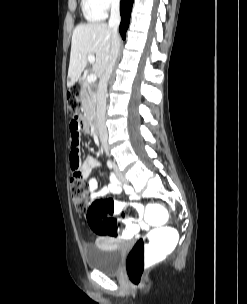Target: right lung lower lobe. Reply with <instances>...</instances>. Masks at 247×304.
Segmentation results:
<instances>
[{"mask_svg": "<svg viewBox=\"0 0 247 304\" xmlns=\"http://www.w3.org/2000/svg\"><path fill=\"white\" fill-rule=\"evenodd\" d=\"M133 2L134 0H121L120 3L121 24L119 31L123 39L126 38Z\"/></svg>", "mask_w": 247, "mask_h": 304, "instance_id": "obj_1", "label": "right lung lower lobe"}]
</instances>
